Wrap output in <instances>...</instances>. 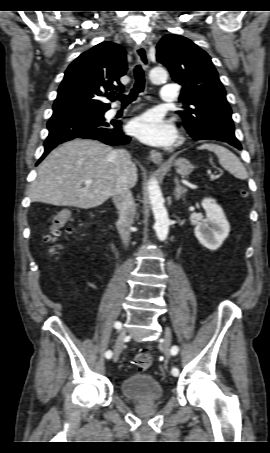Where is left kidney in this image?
<instances>
[{
  "label": "left kidney",
  "instance_id": "obj_1",
  "mask_svg": "<svg viewBox=\"0 0 270 453\" xmlns=\"http://www.w3.org/2000/svg\"><path fill=\"white\" fill-rule=\"evenodd\" d=\"M201 204L206 212V218L196 225L194 233L204 247L215 251L221 247L223 241L228 237L230 224L222 208L214 199L205 198Z\"/></svg>",
  "mask_w": 270,
  "mask_h": 453
}]
</instances>
